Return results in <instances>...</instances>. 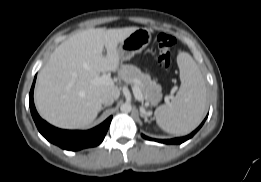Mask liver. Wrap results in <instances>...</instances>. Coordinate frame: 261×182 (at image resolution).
Returning <instances> with one entry per match:
<instances>
[{"label":"liver","mask_w":261,"mask_h":182,"mask_svg":"<svg viewBox=\"0 0 261 182\" xmlns=\"http://www.w3.org/2000/svg\"><path fill=\"white\" fill-rule=\"evenodd\" d=\"M137 29L91 28L62 42L38 74L35 104L40 116L64 129L88 127L101 110L104 95L115 100L120 96L114 84L97 85L93 80L118 70V45Z\"/></svg>","instance_id":"obj_1"}]
</instances>
